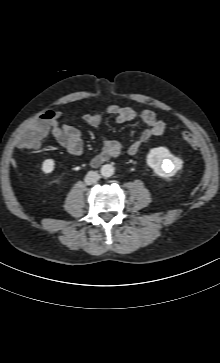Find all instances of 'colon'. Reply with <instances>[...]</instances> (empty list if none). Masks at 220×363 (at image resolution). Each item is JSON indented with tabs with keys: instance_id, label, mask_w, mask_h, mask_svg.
I'll use <instances>...</instances> for the list:
<instances>
[{
	"instance_id": "obj_1",
	"label": "colon",
	"mask_w": 220,
	"mask_h": 363,
	"mask_svg": "<svg viewBox=\"0 0 220 363\" xmlns=\"http://www.w3.org/2000/svg\"><path fill=\"white\" fill-rule=\"evenodd\" d=\"M56 114L53 111L44 112L39 119L25 132V140L27 145L36 146L41 143L42 139L50 130L52 122L55 120ZM184 142L189 145H195L196 137L189 131L181 134Z\"/></svg>"
}]
</instances>
